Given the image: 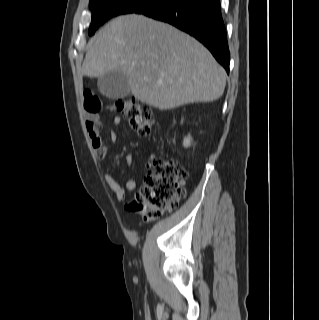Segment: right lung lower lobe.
I'll list each match as a JSON object with an SVG mask.
<instances>
[{
	"instance_id": "98d812e1",
	"label": "right lung lower lobe",
	"mask_w": 319,
	"mask_h": 320,
	"mask_svg": "<svg viewBox=\"0 0 319 320\" xmlns=\"http://www.w3.org/2000/svg\"><path fill=\"white\" fill-rule=\"evenodd\" d=\"M137 13L170 23L194 36L229 72L230 52L220 0H165Z\"/></svg>"
}]
</instances>
